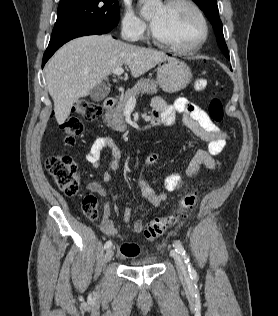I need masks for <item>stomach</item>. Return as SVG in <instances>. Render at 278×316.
I'll return each instance as SVG.
<instances>
[{"label":"stomach","mask_w":278,"mask_h":316,"mask_svg":"<svg viewBox=\"0 0 278 316\" xmlns=\"http://www.w3.org/2000/svg\"><path fill=\"white\" fill-rule=\"evenodd\" d=\"M192 73L187 64L173 57L161 61L157 68V82L168 93L181 91L187 87Z\"/></svg>","instance_id":"stomach-1"}]
</instances>
